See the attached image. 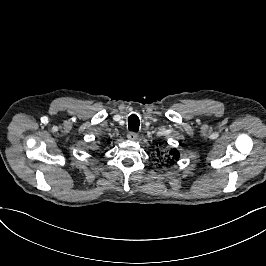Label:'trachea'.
Returning <instances> with one entry per match:
<instances>
[{
  "label": "trachea",
  "mask_w": 266,
  "mask_h": 266,
  "mask_svg": "<svg viewBox=\"0 0 266 266\" xmlns=\"http://www.w3.org/2000/svg\"><path fill=\"white\" fill-rule=\"evenodd\" d=\"M128 129L134 132L139 130V118L135 114H132L128 118Z\"/></svg>",
  "instance_id": "trachea-1"
}]
</instances>
